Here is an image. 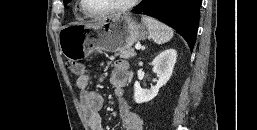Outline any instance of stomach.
I'll return each mask as SVG.
<instances>
[{
    "instance_id": "obj_1",
    "label": "stomach",
    "mask_w": 257,
    "mask_h": 130,
    "mask_svg": "<svg viewBox=\"0 0 257 130\" xmlns=\"http://www.w3.org/2000/svg\"><path fill=\"white\" fill-rule=\"evenodd\" d=\"M146 37L145 27L127 14L109 16L93 24H68L58 34L61 53L72 61L83 60L97 50L128 49Z\"/></svg>"
}]
</instances>
